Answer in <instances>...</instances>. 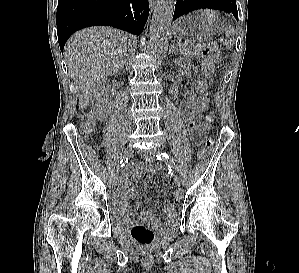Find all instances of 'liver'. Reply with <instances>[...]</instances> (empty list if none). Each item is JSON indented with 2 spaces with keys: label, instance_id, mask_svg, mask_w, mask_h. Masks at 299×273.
I'll use <instances>...</instances> for the list:
<instances>
[{
  "label": "liver",
  "instance_id": "liver-1",
  "mask_svg": "<svg viewBox=\"0 0 299 273\" xmlns=\"http://www.w3.org/2000/svg\"><path fill=\"white\" fill-rule=\"evenodd\" d=\"M130 36L108 27H92L72 35L64 54L81 109L85 108L102 79L117 73L123 63Z\"/></svg>",
  "mask_w": 299,
  "mask_h": 273
}]
</instances>
